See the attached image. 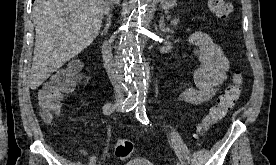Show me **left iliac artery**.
Instances as JSON below:
<instances>
[{
  "label": "left iliac artery",
  "instance_id": "obj_1",
  "mask_svg": "<svg viewBox=\"0 0 276 165\" xmlns=\"http://www.w3.org/2000/svg\"><path fill=\"white\" fill-rule=\"evenodd\" d=\"M136 109V117L137 119L143 123V124H148L149 120L148 117L146 115V109H145V101L143 100H138L137 104L135 106ZM176 165H180L179 163H177Z\"/></svg>",
  "mask_w": 276,
  "mask_h": 165
}]
</instances>
